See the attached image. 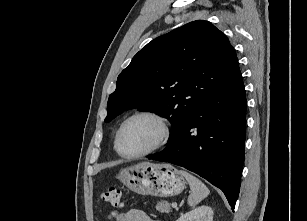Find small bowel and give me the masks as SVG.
<instances>
[{
	"label": "small bowel",
	"instance_id": "1",
	"mask_svg": "<svg viewBox=\"0 0 307 221\" xmlns=\"http://www.w3.org/2000/svg\"><path fill=\"white\" fill-rule=\"evenodd\" d=\"M109 219H114L115 221H159L149 215L144 211L138 209H131L127 212L113 211L109 214Z\"/></svg>",
	"mask_w": 307,
	"mask_h": 221
}]
</instances>
